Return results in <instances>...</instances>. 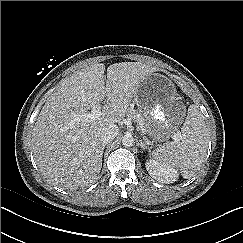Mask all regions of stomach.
Wrapping results in <instances>:
<instances>
[{"label": "stomach", "mask_w": 243, "mask_h": 243, "mask_svg": "<svg viewBox=\"0 0 243 243\" xmlns=\"http://www.w3.org/2000/svg\"><path fill=\"white\" fill-rule=\"evenodd\" d=\"M134 100L147 122V134L155 142L173 138L184 122L185 105L172 81L163 74L148 75L137 87Z\"/></svg>", "instance_id": "obj_1"}]
</instances>
